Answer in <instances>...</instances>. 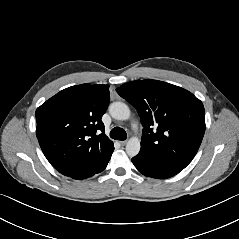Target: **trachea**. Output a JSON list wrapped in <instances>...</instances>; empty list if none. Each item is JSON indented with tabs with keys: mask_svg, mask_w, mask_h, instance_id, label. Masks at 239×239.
<instances>
[{
	"mask_svg": "<svg viewBox=\"0 0 239 239\" xmlns=\"http://www.w3.org/2000/svg\"><path fill=\"white\" fill-rule=\"evenodd\" d=\"M110 137L115 140L124 141L127 138V133L123 128L114 127L110 132Z\"/></svg>",
	"mask_w": 239,
	"mask_h": 239,
	"instance_id": "1",
	"label": "trachea"
}]
</instances>
